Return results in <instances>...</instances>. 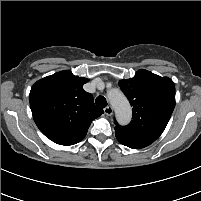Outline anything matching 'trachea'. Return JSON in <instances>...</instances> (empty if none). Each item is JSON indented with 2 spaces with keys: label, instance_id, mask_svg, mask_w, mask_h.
Returning a JSON list of instances; mask_svg holds the SVG:
<instances>
[{
  "label": "trachea",
  "instance_id": "3493384b",
  "mask_svg": "<svg viewBox=\"0 0 201 201\" xmlns=\"http://www.w3.org/2000/svg\"><path fill=\"white\" fill-rule=\"evenodd\" d=\"M95 103L99 108H105L107 106L106 98L104 96H98Z\"/></svg>",
  "mask_w": 201,
  "mask_h": 201
}]
</instances>
